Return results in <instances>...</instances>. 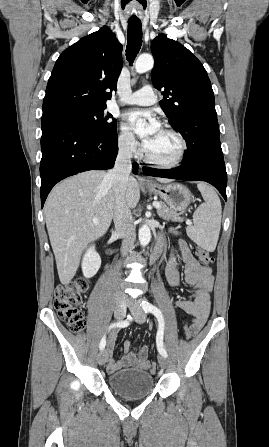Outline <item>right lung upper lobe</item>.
<instances>
[{"label": "right lung upper lobe", "instance_id": "obj_1", "mask_svg": "<svg viewBox=\"0 0 269 447\" xmlns=\"http://www.w3.org/2000/svg\"><path fill=\"white\" fill-rule=\"evenodd\" d=\"M122 45L102 27L62 52L53 68L43 114L65 106H106L122 69Z\"/></svg>", "mask_w": 269, "mask_h": 447}]
</instances>
